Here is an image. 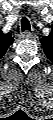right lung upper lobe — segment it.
<instances>
[{
	"label": "right lung upper lobe",
	"instance_id": "1",
	"mask_svg": "<svg viewBox=\"0 0 53 120\" xmlns=\"http://www.w3.org/2000/svg\"><path fill=\"white\" fill-rule=\"evenodd\" d=\"M13 43V38L9 34L0 33V57L7 51L8 47Z\"/></svg>",
	"mask_w": 53,
	"mask_h": 120
}]
</instances>
